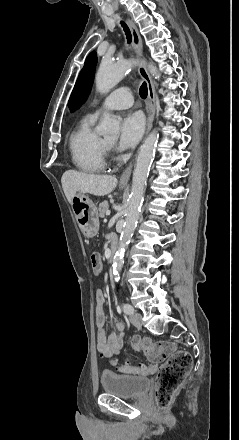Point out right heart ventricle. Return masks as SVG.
I'll list each match as a JSON object with an SVG mask.
<instances>
[{"instance_id": "e07e8e85", "label": "right heart ventricle", "mask_w": 239, "mask_h": 440, "mask_svg": "<svg viewBox=\"0 0 239 440\" xmlns=\"http://www.w3.org/2000/svg\"><path fill=\"white\" fill-rule=\"evenodd\" d=\"M92 118L85 117L71 133L68 147L73 165L86 173L104 171L106 149L103 140L91 130Z\"/></svg>"}]
</instances>
